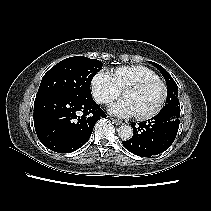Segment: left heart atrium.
<instances>
[{"label":"left heart atrium","instance_id":"1","mask_svg":"<svg viewBox=\"0 0 211 211\" xmlns=\"http://www.w3.org/2000/svg\"><path fill=\"white\" fill-rule=\"evenodd\" d=\"M109 112L121 118L131 117L136 114L132 103L126 98H123L110 105Z\"/></svg>","mask_w":211,"mask_h":211}]
</instances>
